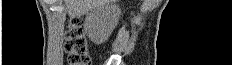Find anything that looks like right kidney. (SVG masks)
Returning a JSON list of instances; mask_svg holds the SVG:
<instances>
[{"label":"right kidney","mask_w":232,"mask_h":65,"mask_svg":"<svg viewBox=\"0 0 232 65\" xmlns=\"http://www.w3.org/2000/svg\"><path fill=\"white\" fill-rule=\"evenodd\" d=\"M121 10L116 4H105L93 8L85 18L84 30L95 44L104 43L118 24Z\"/></svg>","instance_id":"obj_1"}]
</instances>
